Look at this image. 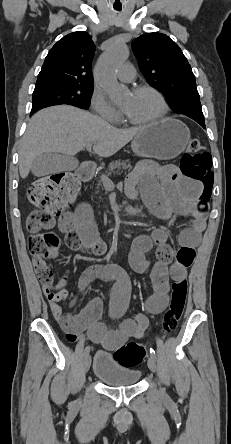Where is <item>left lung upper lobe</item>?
Returning <instances> with one entry per match:
<instances>
[{"mask_svg":"<svg viewBox=\"0 0 231 444\" xmlns=\"http://www.w3.org/2000/svg\"><path fill=\"white\" fill-rule=\"evenodd\" d=\"M132 49L146 81L165 94L176 113L204 120L195 76L173 40L162 33H146L132 41Z\"/></svg>","mask_w":231,"mask_h":444,"instance_id":"5c2ea615","label":"left lung upper lobe"}]
</instances>
